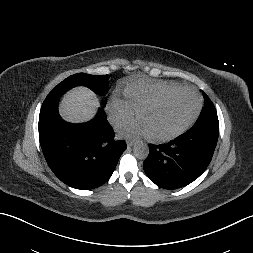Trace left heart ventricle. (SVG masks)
<instances>
[{
	"instance_id": "b2bd125f",
	"label": "left heart ventricle",
	"mask_w": 253,
	"mask_h": 253,
	"mask_svg": "<svg viewBox=\"0 0 253 253\" xmlns=\"http://www.w3.org/2000/svg\"><path fill=\"white\" fill-rule=\"evenodd\" d=\"M197 98L191 92H179L140 116L150 135L163 136L183 125L193 114Z\"/></svg>"
}]
</instances>
